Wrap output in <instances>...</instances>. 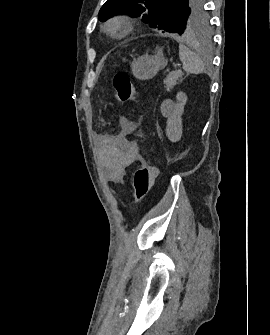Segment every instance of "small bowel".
I'll return each mask as SVG.
<instances>
[{"instance_id":"obj_1","label":"small bowel","mask_w":270,"mask_h":335,"mask_svg":"<svg viewBox=\"0 0 270 335\" xmlns=\"http://www.w3.org/2000/svg\"><path fill=\"white\" fill-rule=\"evenodd\" d=\"M120 125L119 134L98 137L99 159L107 179L116 185L124 184L129 168L136 161L138 151L136 143L128 138L137 126L126 118L121 119Z\"/></svg>"}]
</instances>
